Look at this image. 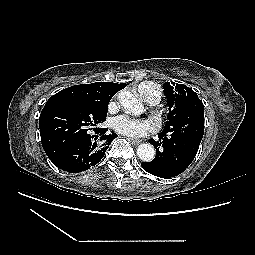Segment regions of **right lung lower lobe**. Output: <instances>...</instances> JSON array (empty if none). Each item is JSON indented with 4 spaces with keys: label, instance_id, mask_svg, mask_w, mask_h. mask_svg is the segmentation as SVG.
<instances>
[{
    "label": "right lung lower lobe",
    "instance_id": "98d812e1",
    "mask_svg": "<svg viewBox=\"0 0 255 255\" xmlns=\"http://www.w3.org/2000/svg\"><path fill=\"white\" fill-rule=\"evenodd\" d=\"M107 128H95L94 134L85 133L64 145H54L41 137L43 148L52 161L60 169L78 173L97 164L109 148L115 133L108 134Z\"/></svg>",
    "mask_w": 255,
    "mask_h": 255
}]
</instances>
